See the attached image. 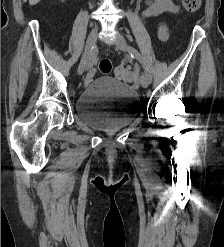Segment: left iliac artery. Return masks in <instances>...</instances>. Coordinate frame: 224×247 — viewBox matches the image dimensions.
<instances>
[{"label":"left iliac artery","instance_id":"44dca946","mask_svg":"<svg viewBox=\"0 0 224 247\" xmlns=\"http://www.w3.org/2000/svg\"><path fill=\"white\" fill-rule=\"evenodd\" d=\"M130 54L133 58H136L142 64L145 71V76L150 83L152 81V76L141 54L134 48H130Z\"/></svg>","mask_w":224,"mask_h":247}]
</instances>
